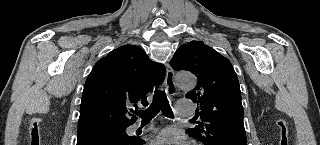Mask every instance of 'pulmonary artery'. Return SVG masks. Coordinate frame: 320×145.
Segmentation results:
<instances>
[{
	"mask_svg": "<svg viewBox=\"0 0 320 145\" xmlns=\"http://www.w3.org/2000/svg\"><path fill=\"white\" fill-rule=\"evenodd\" d=\"M176 114L181 117H188L192 114L193 109L189 101H178L176 103ZM140 128V125H133L130 127V132H135Z\"/></svg>",
	"mask_w": 320,
	"mask_h": 145,
	"instance_id": "obj_1",
	"label": "pulmonary artery"
}]
</instances>
